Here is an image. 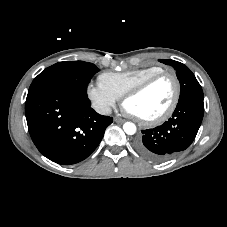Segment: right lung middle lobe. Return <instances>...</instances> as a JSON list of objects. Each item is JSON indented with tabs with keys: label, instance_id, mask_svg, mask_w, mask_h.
Segmentation results:
<instances>
[{
	"label": "right lung middle lobe",
	"instance_id": "1",
	"mask_svg": "<svg viewBox=\"0 0 227 227\" xmlns=\"http://www.w3.org/2000/svg\"><path fill=\"white\" fill-rule=\"evenodd\" d=\"M98 71L94 64L83 61L56 63L35 77L28 95L45 88L65 89L84 95L88 82Z\"/></svg>",
	"mask_w": 227,
	"mask_h": 227
}]
</instances>
